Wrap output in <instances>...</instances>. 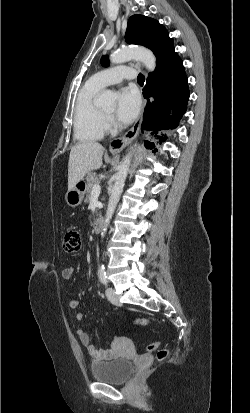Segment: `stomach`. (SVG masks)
I'll list each match as a JSON object with an SVG mask.
<instances>
[{
	"mask_svg": "<svg viewBox=\"0 0 250 413\" xmlns=\"http://www.w3.org/2000/svg\"><path fill=\"white\" fill-rule=\"evenodd\" d=\"M85 188L86 185L84 181L81 180L74 186L73 189L67 191L65 200L70 207L75 208L82 203L84 199Z\"/></svg>",
	"mask_w": 250,
	"mask_h": 413,
	"instance_id": "stomach-1",
	"label": "stomach"
}]
</instances>
